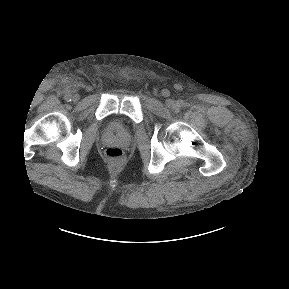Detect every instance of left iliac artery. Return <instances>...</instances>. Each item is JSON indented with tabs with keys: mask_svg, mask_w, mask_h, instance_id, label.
<instances>
[{
	"mask_svg": "<svg viewBox=\"0 0 289 289\" xmlns=\"http://www.w3.org/2000/svg\"><path fill=\"white\" fill-rule=\"evenodd\" d=\"M178 106H181V104H180V103H178Z\"/></svg>",
	"mask_w": 289,
	"mask_h": 289,
	"instance_id": "left-iliac-artery-1",
	"label": "left iliac artery"
}]
</instances>
